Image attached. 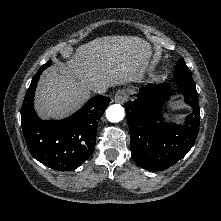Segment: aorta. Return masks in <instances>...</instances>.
<instances>
[{
  "label": "aorta",
  "mask_w": 221,
  "mask_h": 221,
  "mask_svg": "<svg viewBox=\"0 0 221 221\" xmlns=\"http://www.w3.org/2000/svg\"><path fill=\"white\" fill-rule=\"evenodd\" d=\"M125 116V110L120 104H113L106 110V117L110 122H119L123 120Z\"/></svg>",
  "instance_id": "obj_1"
}]
</instances>
